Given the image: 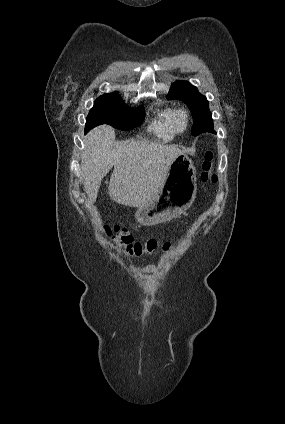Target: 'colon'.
<instances>
[{
	"instance_id": "colon-1",
	"label": "colon",
	"mask_w": 285,
	"mask_h": 424,
	"mask_svg": "<svg viewBox=\"0 0 285 424\" xmlns=\"http://www.w3.org/2000/svg\"><path fill=\"white\" fill-rule=\"evenodd\" d=\"M200 178L205 184L215 183L217 180L216 166L213 161V154L210 151L205 154ZM104 230L114 243L130 257L156 255L160 251L169 249L168 243H161L155 239H148L143 242L135 241L126 230L119 226L105 225Z\"/></svg>"
}]
</instances>
